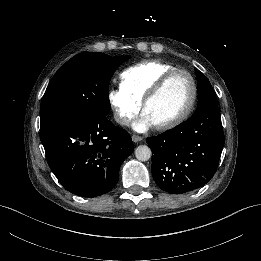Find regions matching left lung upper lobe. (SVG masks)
Returning <instances> with one entry per match:
<instances>
[{
  "instance_id": "obj_1",
  "label": "left lung upper lobe",
  "mask_w": 261,
  "mask_h": 261,
  "mask_svg": "<svg viewBox=\"0 0 261 261\" xmlns=\"http://www.w3.org/2000/svg\"><path fill=\"white\" fill-rule=\"evenodd\" d=\"M197 81H198V106L197 109L203 108L208 104H216L217 99L215 97L214 90L207 79V77L195 68Z\"/></svg>"
}]
</instances>
